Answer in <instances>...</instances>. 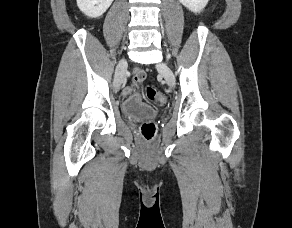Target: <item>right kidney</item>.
<instances>
[{
	"label": "right kidney",
	"instance_id": "right-kidney-1",
	"mask_svg": "<svg viewBox=\"0 0 292 228\" xmlns=\"http://www.w3.org/2000/svg\"><path fill=\"white\" fill-rule=\"evenodd\" d=\"M113 0H77V6L88 17L97 18L103 15Z\"/></svg>",
	"mask_w": 292,
	"mask_h": 228
}]
</instances>
